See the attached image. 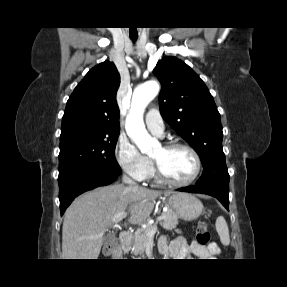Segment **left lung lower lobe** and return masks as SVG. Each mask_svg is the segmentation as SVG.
<instances>
[{"label": "left lung lower lobe", "mask_w": 287, "mask_h": 287, "mask_svg": "<svg viewBox=\"0 0 287 287\" xmlns=\"http://www.w3.org/2000/svg\"><path fill=\"white\" fill-rule=\"evenodd\" d=\"M182 192L202 193L217 198L226 209L229 207V190L217 186H188L178 189Z\"/></svg>", "instance_id": "0a47b994"}]
</instances>
